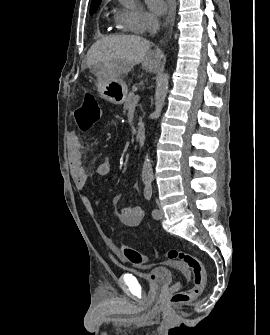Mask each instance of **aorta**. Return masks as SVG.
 Segmentation results:
<instances>
[{
    "mask_svg": "<svg viewBox=\"0 0 270 335\" xmlns=\"http://www.w3.org/2000/svg\"><path fill=\"white\" fill-rule=\"evenodd\" d=\"M169 88V76L168 74H160L157 80L156 92H155V112L152 116L157 120L159 118L162 108L164 106L165 98L168 94ZM142 179L143 181H152L153 179V168L149 156H145L142 166Z\"/></svg>",
    "mask_w": 270,
    "mask_h": 335,
    "instance_id": "1",
    "label": "aorta"
}]
</instances>
